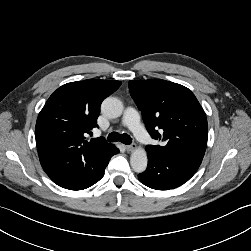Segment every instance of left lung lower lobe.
<instances>
[{"label": "left lung lower lobe", "instance_id": "1", "mask_svg": "<svg viewBox=\"0 0 251 251\" xmlns=\"http://www.w3.org/2000/svg\"><path fill=\"white\" fill-rule=\"evenodd\" d=\"M148 168L138 175L141 183L157 190H169L187 182L200 164L192 161L147 153Z\"/></svg>", "mask_w": 251, "mask_h": 251}]
</instances>
